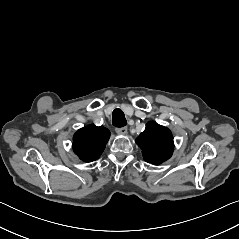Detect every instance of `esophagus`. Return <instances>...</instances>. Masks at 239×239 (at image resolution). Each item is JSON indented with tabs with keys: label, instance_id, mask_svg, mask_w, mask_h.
Segmentation results:
<instances>
[{
	"label": "esophagus",
	"instance_id": "esophagus-1",
	"mask_svg": "<svg viewBox=\"0 0 239 239\" xmlns=\"http://www.w3.org/2000/svg\"><path fill=\"white\" fill-rule=\"evenodd\" d=\"M115 131L120 135H125L127 134L128 129L127 127H122V128H116Z\"/></svg>",
	"mask_w": 239,
	"mask_h": 239
}]
</instances>
